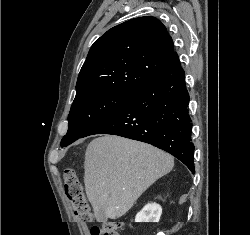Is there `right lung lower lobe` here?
Listing matches in <instances>:
<instances>
[{
  "label": "right lung lower lobe",
  "instance_id": "obj_1",
  "mask_svg": "<svg viewBox=\"0 0 250 235\" xmlns=\"http://www.w3.org/2000/svg\"><path fill=\"white\" fill-rule=\"evenodd\" d=\"M188 102L185 73L176 53L166 69L81 138L112 134L149 143L172 154L194 174Z\"/></svg>",
  "mask_w": 250,
  "mask_h": 235
}]
</instances>
